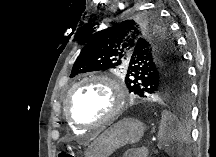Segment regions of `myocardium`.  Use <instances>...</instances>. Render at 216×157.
Segmentation results:
<instances>
[{
    "label": "myocardium",
    "instance_id": "myocardium-1",
    "mask_svg": "<svg viewBox=\"0 0 216 157\" xmlns=\"http://www.w3.org/2000/svg\"><path fill=\"white\" fill-rule=\"evenodd\" d=\"M87 83H99L107 88L112 95V106L110 110L99 120L85 123L78 121L71 112L72 94L78 87ZM126 105V91L124 87L114 78L106 75H89L75 82L67 93L65 108L68 121L78 128H91L100 125L108 124L114 121L123 111Z\"/></svg>",
    "mask_w": 216,
    "mask_h": 157
}]
</instances>
